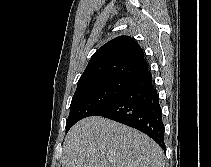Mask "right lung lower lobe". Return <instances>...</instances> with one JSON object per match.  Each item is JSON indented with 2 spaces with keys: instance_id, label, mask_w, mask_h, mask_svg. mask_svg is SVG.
<instances>
[{
  "instance_id": "obj_1",
  "label": "right lung lower lobe",
  "mask_w": 211,
  "mask_h": 167,
  "mask_svg": "<svg viewBox=\"0 0 211 167\" xmlns=\"http://www.w3.org/2000/svg\"><path fill=\"white\" fill-rule=\"evenodd\" d=\"M130 81L131 85L127 90L94 115L142 131L165 151L162 110L152 74L147 68L132 76Z\"/></svg>"
}]
</instances>
